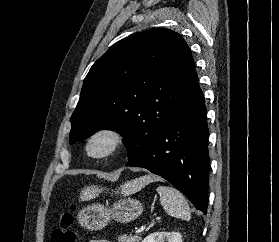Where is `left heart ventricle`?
<instances>
[{
    "mask_svg": "<svg viewBox=\"0 0 279 242\" xmlns=\"http://www.w3.org/2000/svg\"><path fill=\"white\" fill-rule=\"evenodd\" d=\"M108 146V141L104 138L97 139L93 144H92V152L94 154H99L103 152Z\"/></svg>",
    "mask_w": 279,
    "mask_h": 242,
    "instance_id": "b2bd125f",
    "label": "left heart ventricle"
}]
</instances>
